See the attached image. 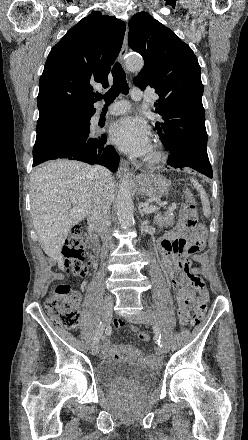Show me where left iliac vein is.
<instances>
[{"mask_svg":"<svg viewBox=\"0 0 248 440\" xmlns=\"http://www.w3.org/2000/svg\"><path fill=\"white\" fill-rule=\"evenodd\" d=\"M126 319L137 324H149L151 323L152 316L149 312H138L136 314L127 316ZM162 341V351L167 353L169 351V343L166 338H162Z\"/></svg>","mask_w":248,"mask_h":440,"instance_id":"4c4485c4","label":"left iliac vein"}]
</instances>
